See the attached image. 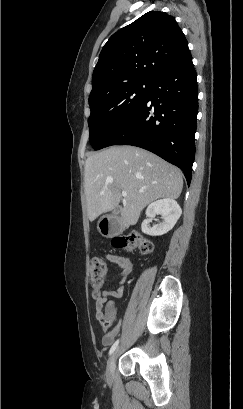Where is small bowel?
<instances>
[{
    "mask_svg": "<svg viewBox=\"0 0 243 409\" xmlns=\"http://www.w3.org/2000/svg\"><path fill=\"white\" fill-rule=\"evenodd\" d=\"M105 258L109 262L117 264L118 267H119V272H118L119 287L117 289H114V290H105V291H103L101 293L100 296L97 297V301H96V318H97V320L99 322H101V316H100L101 310H102L103 306L106 303L108 304V306L110 307V309L112 311L115 310L112 299L122 297V295L124 293V286L123 285L125 284V282L127 280V277L129 276V274L132 271L131 261L128 258L124 257V256H120V255H117V254H106ZM120 323L121 322L119 320H117L116 324H115V327L111 331L106 332L103 335L102 344L104 346H109L113 342V340L115 338V335L119 331Z\"/></svg>",
    "mask_w": 243,
    "mask_h": 409,
    "instance_id": "small-bowel-1",
    "label": "small bowel"
}]
</instances>
